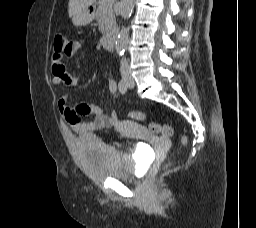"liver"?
Masks as SVG:
<instances>
[{
  "instance_id": "obj_1",
  "label": "liver",
  "mask_w": 256,
  "mask_h": 228,
  "mask_svg": "<svg viewBox=\"0 0 256 228\" xmlns=\"http://www.w3.org/2000/svg\"><path fill=\"white\" fill-rule=\"evenodd\" d=\"M96 0H69L68 12L72 17L78 10L92 5Z\"/></svg>"
}]
</instances>
